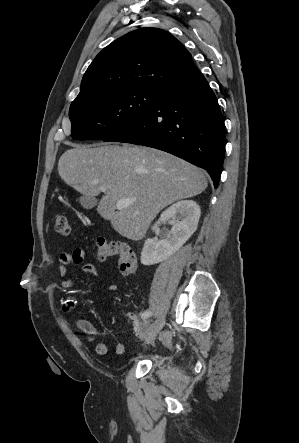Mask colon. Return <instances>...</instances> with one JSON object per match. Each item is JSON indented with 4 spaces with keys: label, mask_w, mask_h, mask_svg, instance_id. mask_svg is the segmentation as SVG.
I'll use <instances>...</instances> for the list:
<instances>
[{
    "label": "colon",
    "mask_w": 299,
    "mask_h": 443,
    "mask_svg": "<svg viewBox=\"0 0 299 443\" xmlns=\"http://www.w3.org/2000/svg\"><path fill=\"white\" fill-rule=\"evenodd\" d=\"M54 230L61 236L70 235L71 227L64 214L56 215ZM96 256L101 261L116 259L120 272L126 276L135 273L137 269L135 252L124 242L111 241L104 238L98 239L96 242ZM161 339L167 344L171 343V338L168 334H163Z\"/></svg>",
    "instance_id": "5ec220e1"
}]
</instances>
